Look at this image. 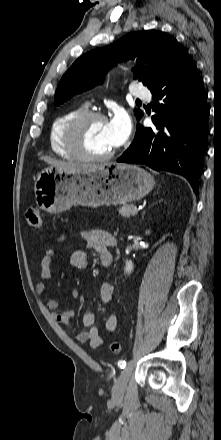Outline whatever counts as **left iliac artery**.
I'll use <instances>...</instances> for the list:
<instances>
[{"mask_svg": "<svg viewBox=\"0 0 221 440\" xmlns=\"http://www.w3.org/2000/svg\"><path fill=\"white\" fill-rule=\"evenodd\" d=\"M118 366H119L121 369L125 368V366H126V361H124V360H120V361L118 362Z\"/></svg>", "mask_w": 221, "mask_h": 440, "instance_id": "left-iliac-artery-1", "label": "left iliac artery"}]
</instances>
